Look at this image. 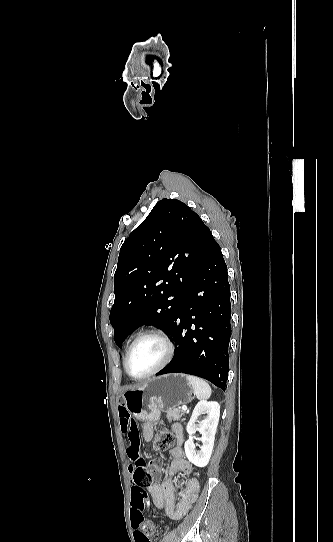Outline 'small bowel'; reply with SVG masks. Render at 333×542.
<instances>
[{"label":"small bowel","mask_w":333,"mask_h":542,"mask_svg":"<svg viewBox=\"0 0 333 542\" xmlns=\"http://www.w3.org/2000/svg\"><path fill=\"white\" fill-rule=\"evenodd\" d=\"M118 414L120 417L121 432L125 435L123 440L125 444H128L127 453L134 464L135 459L141 457V452L139 451L141 439L138 435L136 422L129 416L128 410L123 406L119 407ZM172 429L176 437V445L171 450L172 461L168 476L161 483H153L149 486L148 490L157 508L163 510L169 518L179 520L190 510L197 500L200 493V478L194 466L183 456L182 444L184 435L182 427L179 424H174ZM143 436L147 442L153 439L154 428L152 423L146 422L144 424ZM152 469L156 474L160 473V469L156 466H152ZM177 472L188 476L180 484V487L184 485V488L178 502V488L173 483V476ZM138 517L137 508L132 501L130 528L133 531H138L142 527L141 522L137 520Z\"/></svg>","instance_id":"small-bowel-1"}]
</instances>
